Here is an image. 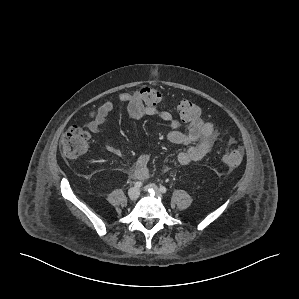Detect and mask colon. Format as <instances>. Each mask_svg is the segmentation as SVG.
I'll return each instance as SVG.
<instances>
[{
    "label": "colon",
    "mask_w": 299,
    "mask_h": 299,
    "mask_svg": "<svg viewBox=\"0 0 299 299\" xmlns=\"http://www.w3.org/2000/svg\"><path fill=\"white\" fill-rule=\"evenodd\" d=\"M142 100L149 106H158L162 95L160 91L151 87L139 90ZM177 111L184 122H190L200 117L199 107L191 100L179 102ZM89 134L79 126H71L63 135L61 141L62 154L67 160H74L84 154L88 148ZM222 162L229 168L238 167L243 160V151L239 148H226L222 154Z\"/></svg>",
    "instance_id": "obj_1"
}]
</instances>
